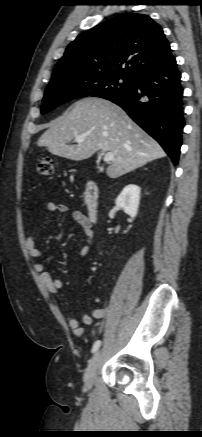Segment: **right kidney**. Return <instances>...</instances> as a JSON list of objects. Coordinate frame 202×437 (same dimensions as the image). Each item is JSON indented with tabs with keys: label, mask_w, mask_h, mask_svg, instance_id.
Masks as SVG:
<instances>
[{
	"label": "right kidney",
	"mask_w": 202,
	"mask_h": 437,
	"mask_svg": "<svg viewBox=\"0 0 202 437\" xmlns=\"http://www.w3.org/2000/svg\"><path fill=\"white\" fill-rule=\"evenodd\" d=\"M141 189L135 184L125 186L116 199V206L122 208L132 219L137 215Z\"/></svg>",
	"instance_id": "right-kidney-1"
}]
</instances>
